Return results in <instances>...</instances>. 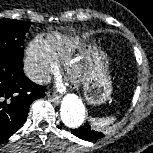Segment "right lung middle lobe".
<instances>
[{
    "label": "right lung middle lobe",
    "instance_id": "1",
    "mask_svg": "<svg viewBox=\"0 0 153 153\" xmlns=\"http://www.w3.org/2000/svg\"><path fill=\"white\" fill-rule=\"evenodd\" d=\"M30 25L27 21L0 20V56L22 59L21 46Z\"/></svg>",
    "mask_w": 153,
    "mask_h": 153
}]
</instances>
